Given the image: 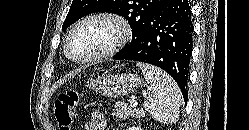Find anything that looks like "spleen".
I'll list each match as a JSON object with an SVG mask.
<instances>
[{"label": "spleen", "instance_id": "spleen-1", "mask_svg": "<svg viewBox=\"0 0 249 130\" xmlns=\"http://www.w3.org/2000/svg\"><path fill=\"white\" fill-rule=\"evenodd\" d=\"M142 70L148 92L144 108L160 123H175L179 118L182 96L175 80L169 74L153 65L137 62Z\"/></svg>", "mask_w": 249, "mask_h": 130}]
</instances>
